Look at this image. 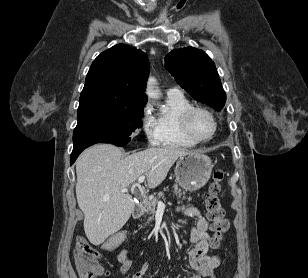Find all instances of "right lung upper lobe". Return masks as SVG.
Segmentation results:
<instances>
[{
  "label": "right lung upper lobe",
  "instance_id": "obj_1",
  "mask_svg": "<svg viewBox=\"0 0 308 278\" xmlns=\"http://www.w3.org/2000/svg\"><path fill=\"white\" fill-rule=\"evenodd\" d=\"M148 74V57L141 50L119 44L102 52L86 76L77 115L145 106Z\"/></svg>",
  "mask_w": 308,
  "mask_h": 278
}]
</instances>
